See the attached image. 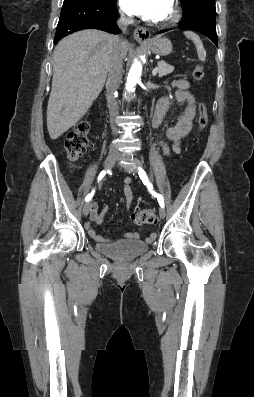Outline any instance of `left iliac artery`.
<instances>
[{"label":"left iliac artery","mask_w":254,"mask_h":397,"mask_svg":"<svg viewBox=\"0 0 254 397\" xmlns=\"http://www.w3.org/2000/svg\"><path fill=\"white\" fill-rule=\"evenodd\" d=\"M138 174H139V177L142 180V182L147 185L148 190L150 191V193L154 197H156L158 199V202H159L160 206L164 208L163 197L160 194H158L156 191H154L151 183L149 182V179H148V176H147L146 172L142 168L139 167L138 168Z\"/></svg>","instance_id":"obj_1"}]
</instances>
